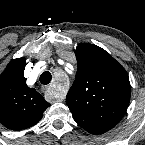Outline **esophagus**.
Returning a JSON list of instances; mask_svg holds the SVG:
<instances>
[{"mask_svg":"<svg viewBox=\"0 0 145 145\" xmlns=\"http://www.w3.org/2000/svg\"><path fill=\"white\" fill-rule=\"evenodd\" d=\"M43 88H44V90H46V93H48L50 91V86H44Z\"/></svg>","mask_w":145,"mask_h":145,"instance_id":"34e87169","label":"esophagus"}]
</instances>
